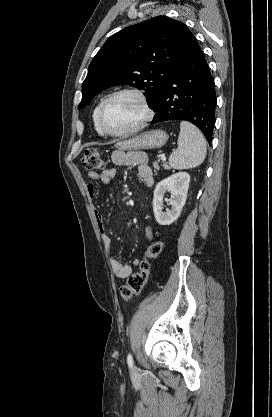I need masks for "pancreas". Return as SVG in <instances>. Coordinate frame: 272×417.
Wrapping results in <instances>:
<instances>
[{
  "label": "pancreas",
  "mask_w": 272,
  "mask_h": 417,
  "mask_svg": "<svg viewBox=\"0 0 272 417\" xmlns=\"http://www.w3.org/2000/svg\"><path fill=\"white\" fill-rule=\"evenodd\" d=\"M153 167H154V169H155V170H159V165H158V163L154 162V163H153ZM163 167H164L165 169H167V170H169V169H170V167H169V165H168L167 163H163Z\"/></svg>",
  "instance_id": "pancreas-1"
}]
</instances>
